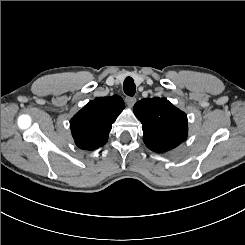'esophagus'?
I'll return each instance as SVG.
<instances>
[{"label":"esophagus","mask_w":245,"mask_h":245,"mask_svg":"<svg viewBox=\"0 0 245 245\" xmlns=\"http://www.w3.org/2000/svg\"><path fill=\"white\" fill-rule=\"evenodd\" d=\"M125 101H126V103H127V105L129 107H132L135 104V102H136V98L135 97H129V96H127L125 98Z\"/></svg>","instance_id":"34e87169"}]
</instances>
